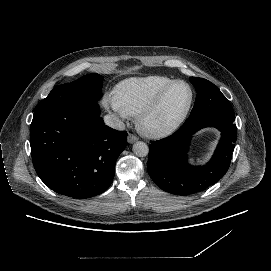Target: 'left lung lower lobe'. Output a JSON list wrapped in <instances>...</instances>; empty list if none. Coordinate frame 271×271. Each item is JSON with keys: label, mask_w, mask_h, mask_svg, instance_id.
Returning <instances> with one entry per match:
<instances>
[{"label": "left lung lower lobe", "mask_w": 271, "mask_h": 271, "mask_svg": "<svg viewBox=\"0 0 271 271\" xmlns=\"http://www.w3.org/2000/svg\"><path fill=\"white\" fill-rule=\"evenodd\" d=\"M235 115L201 113L190 116L171 136L152 141L147 170L162 190L176 195H190L215 184L227 172L237 139ZM216 127L221 131L217 149L205 166H192L187 151L192 135L201 128Z\"/></svg>", "instance_id": "left-lung-lower-lobe-1"}]
</instances>
